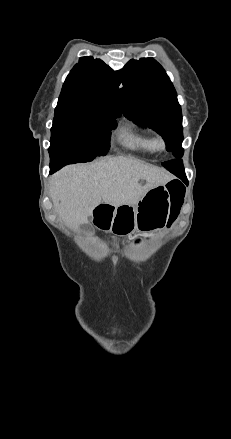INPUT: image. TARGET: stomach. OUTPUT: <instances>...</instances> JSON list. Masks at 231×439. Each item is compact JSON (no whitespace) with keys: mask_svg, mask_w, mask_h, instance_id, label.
<instances>
[{"mask_svg":"<svg viewBox=\"0 0 231 439\" xmlns=\"http://www.w3.org/2000/svg\"><path fill=\"white\" fill-rule=\"evenodd\" d=\"M126 206L130 208L128 216L117 219L112 226L113 232L119 235H127L138 229L164 227L170 215V196L166 186L160 185L148 190L135 206Z\"/></svg>","mask_w":231,"mask_h":439,"instance_id":"1","label":"stomach"}]
</instances>
